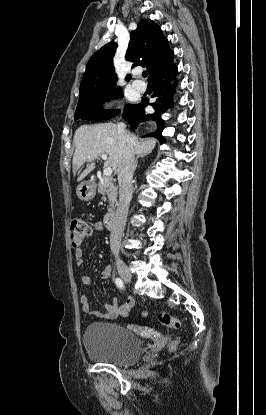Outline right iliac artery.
I'll return each instance as SVG.
<instances>
[{"mask_svg": "<svg viewBox=\"0 0 266 415\" xmlns=\"http://www.w3.org/2000/svg\"><path fill=\"white\" fill-rule=\"evenodd\" d=\"M115 283L117 285L118 288L123 289L124 288V283L120 278H116L115 279Z\"/></svg>", "mask_w": 266, "mask_h": 415, "instance_id": "right-iliac-artery-1", "label": "right iliac artery"}]
</instances>
